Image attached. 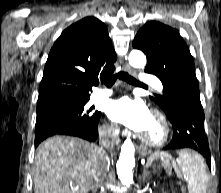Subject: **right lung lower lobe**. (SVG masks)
<instances>
[{"label": "right lung lower lobe", "mask_w": 221, "mask_h": 193, "mask_svg": "<svg viewBox=\"0 0 221 193\" xmlns=\"http://www.w3.org/2000/svg\"><path fill=\"white\" fill-rule=\"evenodd\" d=\"M97 126H98V124H97ZM97 126L94 129H91V130H88V131L87 130H77V129L69 128V129H65V130H63V131H61L60 133H57V134L77 136V137L86 139L88 141H95L98 137ZM49 136H52V135L35 138V147H37L38 144L41 141H43L44 139H46Z\"/></svg>", "instance_id": "obj_1"}]
</instances>
